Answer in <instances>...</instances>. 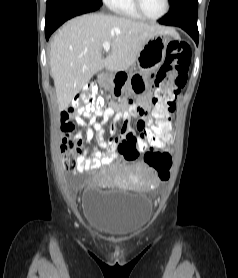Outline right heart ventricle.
<instances>
[{
	"instance_id": "right-heart-ventricle-1",
	"label": "right heart ventricle",
	"mask_w": 238,
	"mask_h": 278,
	"mask_svg": "<svg viewBox=\"0 0 238 278\" xmlns=\"http://www.w3.org/2000/svg\"><path fill=\"white\" fill-rule=\"evenodd\" d=\"M109 8L117 15L131 19H142L135 9L133 0H114Z\"/></svg>"
}]
</instances>
